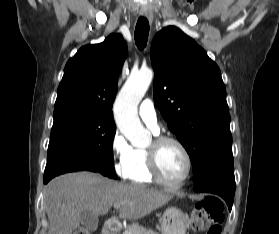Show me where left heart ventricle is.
Segmentation results:
<instances>
[{"mask_svg":"<svg viewBox=\"0 0 279 234\" xmlns=\"http://www.w3.org/2000/svg\"><path fill=\"white\" fill-rule=\"evenodd\" d=\"M159 167L166 180L179 181L186 171V159L180 148L172 143L163 145L159 154Z\"/></svg>","mask_w":279,"mask_h":234,"instance_id":"obj_1","label":"left heart ventricle"}]
</instances>
